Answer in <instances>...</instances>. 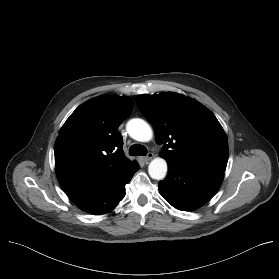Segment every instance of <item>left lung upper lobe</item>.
I'll use <instances>...</instances> for the list:
<instances>
[{"label":"left lung upper lobe","instance_id":"1","mask_svg":"<svg viewBox=\"0 0 279 279\" xmlns=\"http://www.w3.org/2000/svg\"><path fill=\"white\" fill-rule=\"evenodd\" d=\"M136 103L154 128L160 155L183 166L224 172L226 134L214 114L198 101L166 92L138 95Z\"/></svg>","mask_w":279,"mask_h":279}]
</instances>
